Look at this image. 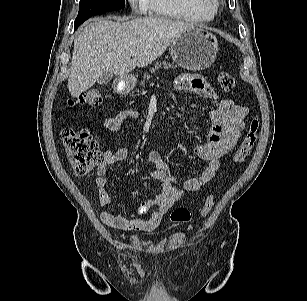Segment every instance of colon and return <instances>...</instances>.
<instances>
[{
	"label": "colon",
	"instance_id": "obj_1",
	"mask_svg": "<svg viewBox=\"0 0 307 301\" xmlns=\"http://www.w3.org/2000/svg\"><path fill=\"white\" fill-rule=\"evenodd\" d=\"M217 80L225 91H231L236 87L235 78L227 72H220ZM77 101L88 107L96 108L102 103V95L97 88H91L84 91ZM259 127L258 117H252L248 122L242 142L233 155L234 163L240 164L250 155L257 141ZM61 138L69 163L77 176L90 174L94 167L101 162L102 154L89 130L65 127L61 131ZM214 203L215 196L213 194L207 196L200 211L202 218L209 214ZM170 218L174 223H187L191 220V213L187 209L180 208L173 211Z\"/></svg>",
	"mask_w": 307,
	"mask_h": 301
}]
</instances>
